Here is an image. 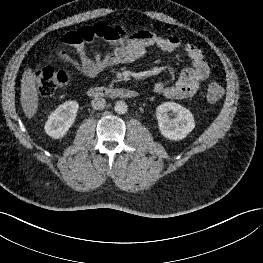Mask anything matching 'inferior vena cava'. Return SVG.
<instances>
[{"label": "inferior vena cava", "mask_w": 263, "mask_h": 263, "mask_svg": "<svg viewBox=\"0 0 263 263\" xmlns=\"http://www.w3.org/2000/svg\"><path fill=\"white\" fill-rule=\"evenodd\" d=\"M91 106L95 110H102L106 106V100L104 98L97 97L92 100Z\"/></svg>", "instance_id": "602c4592"}]
</instances>
